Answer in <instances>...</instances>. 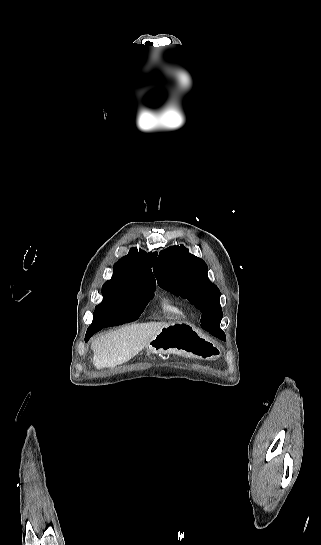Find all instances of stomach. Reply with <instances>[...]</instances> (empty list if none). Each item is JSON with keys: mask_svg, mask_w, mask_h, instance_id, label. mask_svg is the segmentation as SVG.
Returning <instances> with one entry per match:
<instances>
[{"mask_svg": "<svg viewBox=\"0 0 321 545\" xmlns=\"http://www.w3.org/2000/svg\"><path fill=\"white\" fill-rule=\"evenodd\" d=\"M152 355H183L196 359H217L219 349L189 323H168L146 345Z\"/></svg>", "mask_w": 321, "mask_h": 545, "instance_id": "1", "label": "stomach"}]
</instances>
